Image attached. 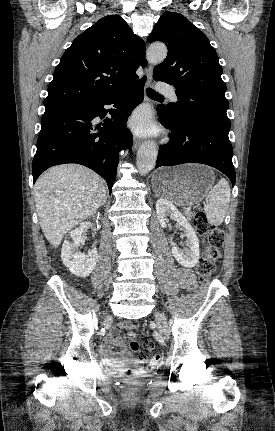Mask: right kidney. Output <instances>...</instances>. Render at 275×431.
I'll return each instance as SVG.
<instances>
[{
  "label": "right kidney",
  "instance_id": "obj_1",
  "mask_svg": "<svg viewBox=\"0 0 275 431\" xmlns=\"http://www.w3.org/2000/svg\"><path fill=\"white\" fill-rule=\"evenodd\" d=\"M92 226L90 222H83L79 228L72 230L69 235L72 242L65 240L62 245L61 258L63 264L77 277H88L94 270L98 261L96 247L88 252L87 255L81 253L78 248L84 245L83 231Z\"/></svg>",
  "mask_w": 275,
  "mask_h": 431
}]
</instances>
